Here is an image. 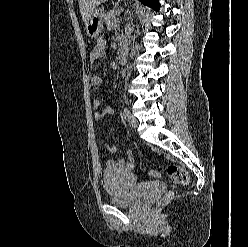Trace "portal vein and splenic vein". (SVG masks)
<instances>
[{
    "label": "portal vein and splenic vein",
    "mask_w": 248,
    "mask_h": 247,
    "mask_svg": "<svg viewBox=\"0 0 248 247\" xmlns=\"http://www.w3.org/2000/svg\"><path fill=\"white\" fill-rule=\"evenodd\" d=\"M123 11V9H118V13H121Z\"/></svg>",
    "instance_id": "1"
}]
</instances>
